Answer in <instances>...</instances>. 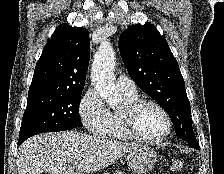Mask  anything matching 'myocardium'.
Wrapping results in <instances>:
<instances>
[{
	"label": "myocardium",
	"instance_id": "1",
	"mask_svg": "<svg viewBox=\"0 0 224 174\" xmlns=\"http://www.w3.org/2000/svg\"><path fill=\"white\" fill-rule=\"evenodd\" d=\"M144 105H152L158 109L166 121V129L162 135L156 138H148L141 135L135 126V117L138 110ZM119 120L123 131L131 138L144 143H159L165 140L172 131V120L166 109L157 101L147 98H137L125 103L118 112Z\"/></svg>",
	"mask_w": 224,
	"mask_h": 174
}]
</instances>
